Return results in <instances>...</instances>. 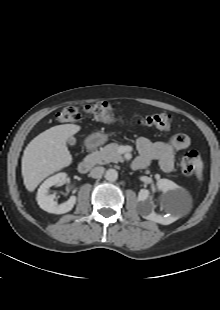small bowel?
<instances>
[{
	"mask_svg": "<svg viewBox=\"0 0 220 310\" xmlns=\"http://www.w3.org/2000/svg\"><path fill=\"white\" fill-rule=\"evenodd\" d=\"M190 138L186 134H176L167 142H152L146 137L137 140L139 156L133 163L136 169L148 166L153 160H158L164 172H171L174 168V157L177 151L190 146Z\"/></svg>",
	"mask_w": 220,
	"mask_h": 310,
	"instance_id": "obj_1",
	"label": "small bowel"
}]
</instances>
